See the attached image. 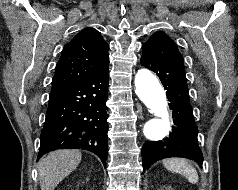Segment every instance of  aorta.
Masks as SVG:
<instances>
[{
    "instance_id": "aorta-1",
    "label": "aorta",
    "mask_w": 238,
    "mask_h": 190,
    "mask_svg": "<svg viewBox=\"0 0 238 190\" xmlns=\"http://www.w3.org/2000/svg\"><path fill=\"white\" fill-rule=\"evenodd\" d=\"M135 88V93L153 115L144 125V136L150 141L162 140L170 130L164 89L156 76L148 69H141L137 72Z\"/></svg>"
}]
</instances>
